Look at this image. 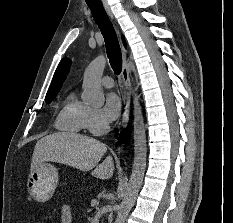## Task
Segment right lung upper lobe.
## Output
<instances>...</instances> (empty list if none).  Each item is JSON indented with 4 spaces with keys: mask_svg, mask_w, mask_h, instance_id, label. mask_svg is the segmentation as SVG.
<instances>
[{
    "mask_svg": "<svg viewBox=\"0 0 233 223\" xmlns=\"http://www.w3.org/2000/svg\"><path fill=\"white\" fill-rule=\"evenodd\" d=\"M124 42V40H123ZM125 45V42H124ZM71 65V61L68 58H63L55 71L51 86L46 95V102H50L54 99L58 91L60 90L62 83L64 82L67 73L69 72V68Z\"/></svg>",
    "mask_w": 233,
    "mask_h": 223,
    "instance_id": "obj_1",
    "label": "right lung upper lobe"
}]
</instances>
